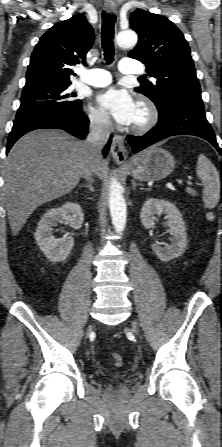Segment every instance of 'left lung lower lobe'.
I'll return each instance as SVG.
<instances>
[{
	"mask_svg": "<svg viewBox=\"0 0 222 447\" xmlns=\"http://www.w3.org/2000/svg\"><path fill=\"white\" fill-rule=\"evenodd\" d=\"M174 135H195L209 141L220 154L215 134L208 123L204 109L193 107L182 102H170L159 111L157 125L145 135L128 136L133 153Z\"/></svg>",
	"mask_w": 222,
	"mask_h": 447,
	"instance_id": "left-lung-lower-lobe-1",
	"label": "left lung lower lobe"
}]
</instances>
